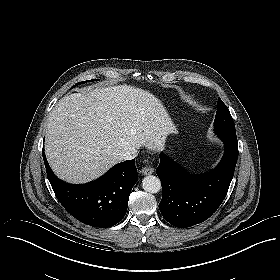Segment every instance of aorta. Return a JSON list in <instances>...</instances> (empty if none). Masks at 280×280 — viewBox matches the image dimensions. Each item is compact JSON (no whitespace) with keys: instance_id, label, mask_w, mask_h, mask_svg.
Wrapping results in <instances>:
<instances>
[{"instance_id":"aorta-1","label":"aorta","mask_w":280,"mask_h":280,"mask_svg":"<svg viewBox=\"0 0 280 280\" xmlns=\"http://www.w3.org/2000/svg\"><path fill=\"white\" fill-rule=\"evenodd\" d=\"M142 187L146 192L157 193L161 189V181L154 175H148L142 180Z\"/></svg>"}]
</instances>
